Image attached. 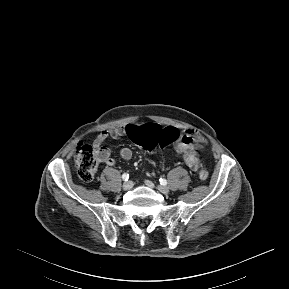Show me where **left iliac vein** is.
<instances>
[{"mask_svg": "<svg viewBox=\"0 0 289 289\" xmlns=\"http://www.w3.org/2000/svg\"><path fill=\"white\" fill-rule=\"evenodd\" d=\"M145 183H146V185L149 186L150 188H154V184H153L151 181L147 180V181H145ZM157 189H158L161 193H163V194H168V193H169V188L166 187V186L158 185V186H157Z\"/></svg>", "mask_w": 289, "mask_h": 289, "instance_id": "left-iliac-vein-1", "label": "left iliac vein"}]
</instances>
